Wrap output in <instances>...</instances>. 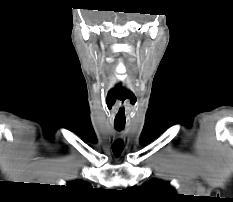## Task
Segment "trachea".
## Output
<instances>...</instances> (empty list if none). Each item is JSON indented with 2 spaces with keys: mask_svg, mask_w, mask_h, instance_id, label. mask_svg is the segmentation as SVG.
<instances>
[{
  "mask_svg": "<svg viewBox=\"0 0 233 202\" xmlns=\"http://www.w3.org/2000/svg\"><path fill=\"white\" fill-rule=\"evenodd\" d=\"M115 129L121 131L124 129V125H115Z\"/></svg>",
  "mask_w": 233,
  "mask_h": 202,
  "instance_id": "obj_1",
  "label": "trachea"
}]
</instances>
